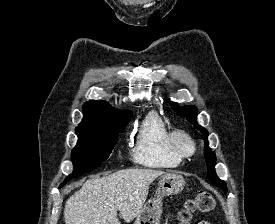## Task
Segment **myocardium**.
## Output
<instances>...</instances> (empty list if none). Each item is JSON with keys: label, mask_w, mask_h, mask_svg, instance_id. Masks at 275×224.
I'll list each match as a JSON object with an SVG mask.
<instances>
[{"label": "myocardium", "mask_w": 275, "mask_h": 224, "mask_svg": "<svg viewBox=\"0 0 275 224\" xmlns=\"http://www.w3.org/2000/svg\"><path fill=\"white\" fill-rule=\"evenodd\" d=\"M169 145L172 151L181 159L191 157L196 152V143L193 137L184 130L171 132Z\"/></svg>", "instance_id": "1"}]
</instances>
